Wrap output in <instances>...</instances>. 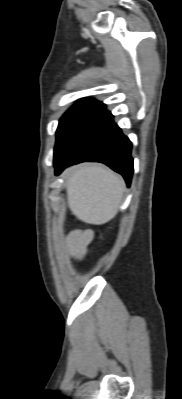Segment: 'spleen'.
<instances>
[{
	"instance_id": "obj_1",
	"label": "spleen",
	"mask_w": 182,
	"mask_h": 399,
	"mask_svg": "<svg viewBox=\"0 0 182 399\" xmlns=\"http://www.w3.org/2000/svg\"><path fill=\"white\" fill-rule=\"evenodd\" d=\"M123 179L97 164L75 169L67 182V199L72 213L91 224H104L114 218L124 195Z\"/></svg>"
}]
</instances>
